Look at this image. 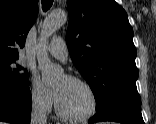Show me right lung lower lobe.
Listing matches in <instances>:
<instances>
[{"instance_id": "obj_1", "label": "right lung lower lobe", "mask_w": 156, "mask_h": 124, "mask_svg": "<svg viewBox=\"0 0 156 124\" xmlns=\"http://www.w3.org/2000/svg\"><path fill=\"white\" fill-rule=\"evenodd\" d=\"M31 105L29 86L22 88L0 83V121L28 124Z\"/></svg>"}]
</instances>
